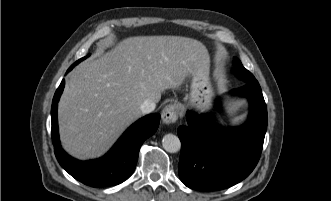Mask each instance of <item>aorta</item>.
Here are the masks:
<instances>
[{"label":"aorta","instance_id":"1","mask_svg":"<svg viewBox=\"0 0 331 201\" xmlns=\"http://www.w3.org/2000/svg\"><path fill=\"white\" fill-rule=\"evenodd\" d=\"M162 146L167 152L176 153L181 148V142L176 135L166 134L162 139Z\"/></svg>","mask_w":331,"mask_h":201}]
</instances>
